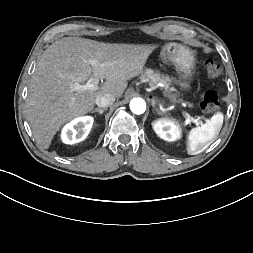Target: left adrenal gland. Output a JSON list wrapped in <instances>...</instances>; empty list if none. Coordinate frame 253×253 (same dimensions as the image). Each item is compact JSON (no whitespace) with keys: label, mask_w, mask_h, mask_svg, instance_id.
Listing matches in <instances>:
<instances>
[{"label":"left adrenal gland","mask_w":253,"mask_h":253,"mask_svg":"<svg viewBox=\"0 0 253 253\" xmlns=\"http://www.w3.org/2000/svg\"><path fill=\"white\" fill-rule=\"evenodd\" d=\"M154 111L158 112V110L155 108ZM159 113V112H158Z\"/></svg>","instance_id":"a2214340"}]
</instances>
